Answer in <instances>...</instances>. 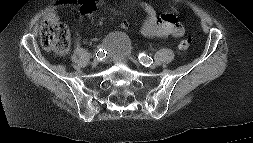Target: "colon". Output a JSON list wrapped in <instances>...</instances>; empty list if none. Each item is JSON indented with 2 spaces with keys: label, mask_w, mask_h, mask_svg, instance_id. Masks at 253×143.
Masks as SVG:
<instances>
[{
  "label": "colon",
  "mask_w": 253,
  "mask_h": 143,
  "mask_svg": "<svg viewBox=\"0 0 253 143\" xmlns=\"http://www.w3.org/2000/svg\"><path fill=\"white\" fill-rule=\"evenodd\" d=\"M40 43L46 50L65 53L70 45L69 29L58 21H46L41 28ZM190 45L191 39L186 38L180 42L179 48L185 51Z\"/></svg>",
  "instance_id": "colon-1"
}]
</instances>
